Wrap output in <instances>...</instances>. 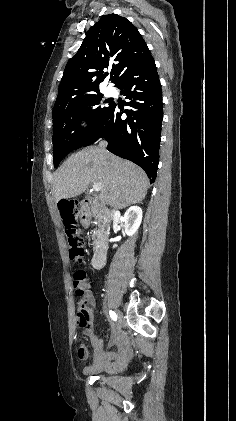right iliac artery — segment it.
Instances as JSON below:
<instances>
[{"label": "right iliac artery", "instance_id": "1", "mask_svg": "<svg viewBox=\"0 0 236 421\" xmlns=\"http://www.w3.org/2000/svg\"><path fill=\"white\" fill-rule=\"evenodd\" d=\"M109 314H110V317H111L114 321H116V320H117V315H116V313H115L114 311L110 310V311H109Z\"/></svg>", "mask_w": 236, "mask_h": 421}]
</instances>
